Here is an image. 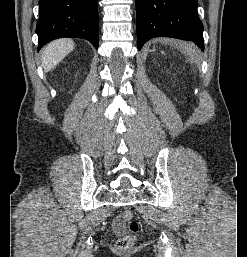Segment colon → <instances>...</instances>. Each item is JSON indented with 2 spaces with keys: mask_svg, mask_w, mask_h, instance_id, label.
<instances>
[{
  "mask_svg": "<svg viewBox=\"0 0 247 257\" xmlns=\"http://www.w3.org/2000/svg\"><path fill=\"white\" fill-rule=\"evenodd\" d=\"M121 219L129 226L130 233L122 236L116 242V247L119 251H128L132 248L136 241V234L139 231V222L135 219L134 214L130 210L122 213Z\"/></svg>",
  "mask_w": 247,
  "mask_h": 257,
  "instance_id": "obj_1",
  "label": "colon"
}]
</instances>
